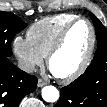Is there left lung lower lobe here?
I'll use <instances>...</instances> for the list:
<instances>
[{"instance_id": "1", "label": "left lung lower lobe", "mask_w": 107, "mask_h": 107, "mask_svg": "<svg viewBox=\"0 0 107 107\" xmlns=\"http://www.w3.org/2000/svg\"><path fill=\"white\" fill-rule=\"evenodd\" d=\"M107 55L99 50L92 66L90 83L72 82L60 91L55 107H107Z\"/></svg>"}]
</instances>
